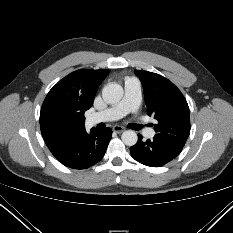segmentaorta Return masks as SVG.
Instances as JSON below:
<instances>
[{"instance_id":"obj_1","label":"aorta","mask_w":233,"mask_h":233,"mask_svg":"<svg viewBox=\"0 0 233 233\" xmlns=\"http://www.w3.org/2000/svg\"><path fill=\"white\" fill-rule=\"evenodd\" d=\"M103 100L108 104L118 103L123 97V88L116 83H109L102 90ZM122 141L127 146H133L137 143L138 136L135 131L127 130L122 133Z\"/></svg>"}]
</instances>
